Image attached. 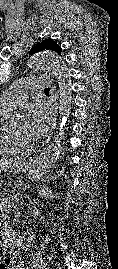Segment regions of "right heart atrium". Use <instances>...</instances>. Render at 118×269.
Here are the masks:
<instances>
[{
  "label": "right heart atrium",
  "instance_id": "right-heart-atrium-1",
  "mask_svg": "<svg viewBox=\"0 0 118 269\" xmlns=\"http://www.w3.org/2000/svg\"><path fill=\"white\" fill-rule=\"evenodd\" d=\"M12 137L19 146L26 143V140L20 135H12Z\"/></svg>",
  "mask_w": 118,
  "mask_h": 269
}]
</instances>
